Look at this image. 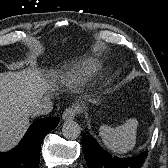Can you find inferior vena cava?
I'll return each mask as SVG.
<instances>
[{
	"instance_id": "602c4592",
	"label": "inferior vena cava",
	"mask_w": 168,
	"mask_h": 168,
	"mask_svg": "<svg viewBox=\"0 0 168 168\" xmlns=\"http://www.w3.org/2000/svg\"><path fill=\"white\" fill-rule=\"evenodd\" d=\"M53 103L51 101H43L36 104L30 111V115L40 116L48 114L52 111Z\"/></svg>"
}]
</instances>
